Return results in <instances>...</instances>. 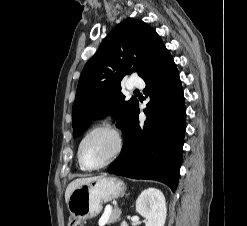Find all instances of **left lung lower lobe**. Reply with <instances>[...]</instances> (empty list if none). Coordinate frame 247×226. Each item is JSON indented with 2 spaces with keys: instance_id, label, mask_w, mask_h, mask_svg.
I'll return each instance as SVG.
<instances>
[{
  "instance_id": "1",
  "label": "left lung lower lobe",
  "mask_w": 247,
  "mask_h": 226,
  "mask_svg": "<svg viewBox=\"0 0 247 226\" xmlns=\"http://www.w3.org/2000/svg\"><path fill=\"white\" fill-rule=\"evenodd\" d=\"M144 94L151 99L138 121L139 104L123 129L124 146L108 172L133 179L160 181L175 191L179 179L185 125V104L179 73L164 46L147 73Z\"/></svg>"
}]
</instances>
